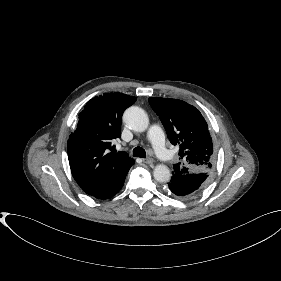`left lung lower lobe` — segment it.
I'll use <instances>...</instances> for the list:
<instances>
[{"label": "left lung lower lobe", "mask_w": 281, "mask_h": 281, "mask_svg": "<svg viewBox=\"0 0 281 281\" xmlns=\"http://www.w3.org/2000/svg\"><path fill=\"white\" fill-rule=\"evenodd\" d=\"M209 174L193 173L173 175L168 183V191L183 199L197 195L207 184Z\"/></svg>", "instance_id": "obj_1"}]
</instances>
